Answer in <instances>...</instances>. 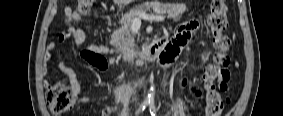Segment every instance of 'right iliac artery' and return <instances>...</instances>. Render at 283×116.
<instances>
[{"instance_id": "right-iliac-artery-1", "label": "right iliac artery", "mask_w": 283, "mask_h": 116, "mask_svg": "<svg viewBox=\"0 0 283 116\" xmlns=\"http://www.w3.org/2000/svg\"><path fill=\"white\" fill-rule=\"evenodd\" d=\"M146 106H147V103H145V102L142 103L140 108H139V110H138V112L141 111V110L143 111L146 108Z\"/></svg>"}]
</instances>
